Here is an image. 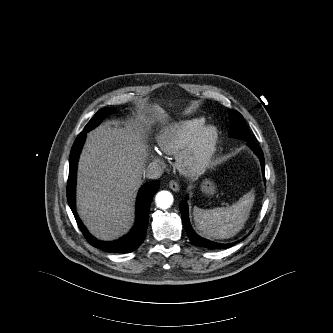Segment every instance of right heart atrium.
Here are the masks:
<instances>
[{
  "label": "right heart atrium",
  "mask_w": 333,
  "mask_h": 333,
  "mask_svg": "<svg viewBox=\"0 0 333 333\" xmlns=\"http://www.w3.org/2000/svg\"><path fill=\"white\" fill-rule=\"evenodd\" d=\"M152 160L158 164L164 163L163 157L158 152L152 154Z\"/></svg>",
  "instance_id": "obj_1"
}]
</instances>
